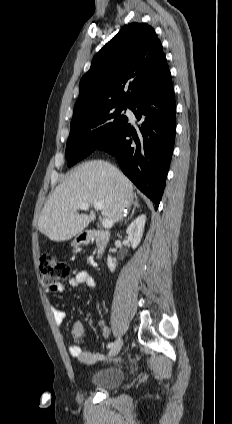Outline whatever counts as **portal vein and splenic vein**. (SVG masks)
Returning <instances> with one entry per match:
<instances>
[{
  "label": "portal vein and splenic vein",
  "instance_id": "portal-vein-and-splenic-vein-1",
  "mask_svg": "<svg viewBox=\"0 0 232 424\" xmlns=\"http://www.w3.org/2000/svg\"><path fill=\"white\" fill-rule=\"evenodd\" d=\"M93 206H94L95 209L101 210L103 208L104 204H103V202H94ZM88 207H89L88 203H81L80 206H79V208L82 209V210H87ZM113 223L114 222L111 219H104L102 221V225H103L104 228L112 227Z\"/></svg>",
  "mask_w": 232,
  "mask_h": 424
}]
</instances>
